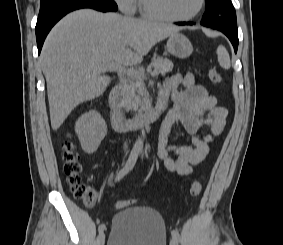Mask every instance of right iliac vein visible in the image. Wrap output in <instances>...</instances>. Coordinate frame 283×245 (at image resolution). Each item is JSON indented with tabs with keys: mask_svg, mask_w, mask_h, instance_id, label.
<instances>
[{
	"mask_svg": "<svg viewBox=\"0 0 283 245\" xmlns=\"http://www.w3.org/2000/svg\"><path fill=\"white\" fill-rule=\"evenodd\" d=\"M98 239H99L100 245H104V243H105V233H104L103 231H101V232L99 233Z\"/></svg>",
	"mask_w": 283,
	"mask_h": 245,
	"instance_id": "obj_1",
	"label": "right iliac vein"
}]
</instances>
